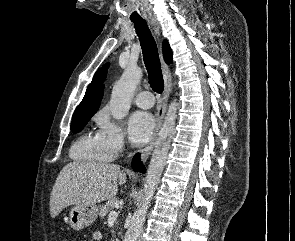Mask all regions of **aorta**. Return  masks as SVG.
<instances>
[{"label":"aorta","mask_w":295,"mask_h":241,"mask_svg":"<svg viewBox=\"0 0 295 241\" xmlns=\"http://www.w3.org/2000/svg\"><path fill=\"white\" fill-rule=\"evenodd\" d=\"M142 75L143 72L141 68L137 66H128L119 81L114 85L110 99V112L116 120H121L128 114L132 97L137 85L140 83ZM177 107V100L174 99L169 105L152 153L145 178L141 203L132 216L124 241H137L141 233L147 210L157 185L159 184L171 146L172 136L175 131Z\"/></svg>","instance_id":"obj_1"}]
</instances>
